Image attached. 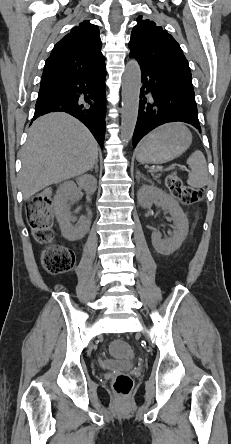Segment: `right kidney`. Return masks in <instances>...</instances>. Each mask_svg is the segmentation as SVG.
<instances>
[{
  "mask_svg": "<svg viewBox=\"0 0 231 444\" xmlns=\"http://www.w3.org/2000/svg\"><path fill=\"white\" fill-rule=\"evenodd\" d=\"M83 188L87 194L96 191L97 181L94 176L83 175L74 181L64 182L59 186L54 197V212L59 223L62 235L69 241L81 239L90 228V219L82 217L77 221L70 212L71 205L75 203L78 196V187Z\"/></svg>",
  "mask_w": 231,
  "mask_h": 444,
  "instance_id": "ca27d5eb",
  "label": "right kidney"
}]
</instances>
